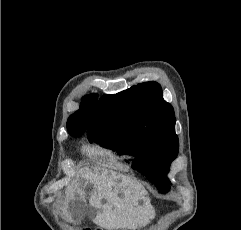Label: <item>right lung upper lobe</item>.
<instances>
[{"instance_id": "cb5924a9", "label": "right lung upper lobe", "mask_w": 241, "mask_h": 230, "mask_svg": "<svg viewBox=\"0 0 241 230\" xmlns=\"http://www.w3.org/2000/svg\"><path fill=\"white\" fill-rule=\"evenodd\" d=\"M96 104L97 94H90L83 97L80 109L68 118L67 129L69 133L86 130L93 118Z\"/></svg>"}]
</instances>
